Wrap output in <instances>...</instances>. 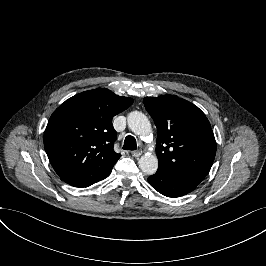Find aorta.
Here are the masks:
<instances>
[{
	"instance_id": "1",
	"label": "aorta",
	"mask_w": 266,
	"mask_h": 266,
	"mask_svg": "<svg viewBox=\"0 0 266 266\" xmlns=\"http://www.w3.org/2000/svg\"><path fill=\"white\" fill-rule=\"evenodd\" d=\"M127 125L129 129L137 135H148L151 133L150 122L144 113L131 111L127 115ZM140 170L147 176L154 175L158 170V160L156 156L145 154L138 160Z\"/></svg>"
}]
</instances>
